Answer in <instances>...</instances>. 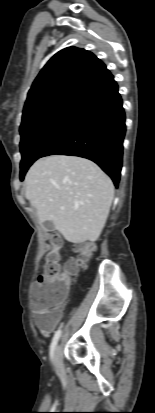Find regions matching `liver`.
Masks as SVG:
<instances>
[{
	"label": "liver",
	"mask_w": 155,
	"mask_h": 413,
	"mask_svg": "<svg viewBox=\"0 0 155 413\" xmlns=\"http://www.w3.org/2000/svg\"><path fill=\"white\" fill-rule=\"evenodd\" d=\"M25 197L36 208L39 221H51L67 241L94 242L105 226L114 186L94 162L52 155L29 169Z\"/></svg>",
	"instance_id": "1"
}]
</instances>
